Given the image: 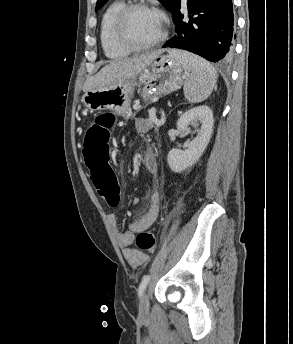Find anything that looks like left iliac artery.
I'll use <instances>...</instances> for the list:
<instances>
[{
    "label": "left iliac artery",
    "mask_w": 293,
    "mask_h": 344,
    "mask_svg": "<svg viewBox=\"0 0 293 344\" xmlns=\"http://www.w3.org/2000/svg\"><path fill=\"white\" fill-rule=\"evenodd\" d=\"M150 281V276L146 275L143 277V280L141 281L139 288H138V295L141 297Z\"/></svg>",
    "instance_id": "obj_1"
}]
</instances>
